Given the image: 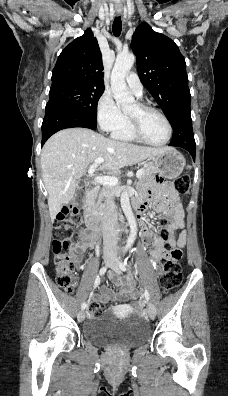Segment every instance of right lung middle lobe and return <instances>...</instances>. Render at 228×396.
I'll list each match as a JSON object with an SVG mask.
<instances>
[{
  "mask_svg": "<svg viewBox=\"0 0 228 396\" xmlns=\"http://www.w3.org/2000/svg\"><path fill=\"white\" fill-rule=\"evenodd\" d=\"M104 87L64 83L51 86L48 106L59 105L97 121V103Z\"/></svg>",
  "mask_w": 228,
  "mask_h": 396,
  "instance_id": "right-lung-middle-lobe-1",
  "label": "right lung middle lobe"
}]
</instances>
